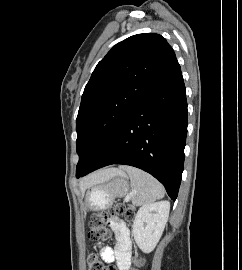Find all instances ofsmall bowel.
I'll return each instance as SVG.
<instances>
[{
  "mask_svg": "<svg viewBox=\"0 0 242 270\" xmlns=\"http://www.w3.org/2000/svg\"><path fill=\"white\" fill-rule=\"evenodd\" d=\"M109 226L112 229L115 238L116 246L100 247L101 258L106 263L116 261L121 270H129L131 264V242L130 232L127 224L118 217H113L109 221Z\"/></svg>",
  "mask_w": 242,
  "mask_h": 270,
  "instance_id": "small-bowel-1",
  "label": "small bowel"
}]
</instances>
